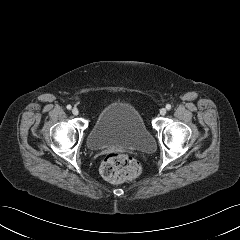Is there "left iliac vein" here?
<instances>
[{
  "label": "left iliac vein",
  "mask_w": 240,
  "mask_h": 240,
  "mask_svg": "<svg viewBox=\"0 0 240 240\" xmlns=\"http://www.w3.org/2000/svg\"><path fill=\"white\" fill-rule=\"evenodd\" d=\"M166 112H167V110L165 108L160 109V114L161 115H165Z\"/></svg>",
  "instance_id": "1"
}]
</instances>
